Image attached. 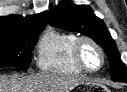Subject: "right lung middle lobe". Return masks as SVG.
Instances as JSON below:
<instances>
[{
  "mask_svg": "<svg viewBox=\"0 0 127 92\" xmlns=\"http://www.w3.org/2000/svg\"><path fill=\"white\" fill-rule=\"evenodd\" d=\"M43 28L21 34H0V67H25L31 63V52Z\"/></svg>",
  "mask_w": 127,
  "mask_h": 92,
  "instance_id": "right-lung-middle-lobe-1",
  "label": "right lung middle lobe"
}]
</instances>
